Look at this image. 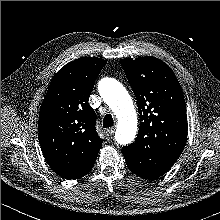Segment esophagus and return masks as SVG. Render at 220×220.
I'll list each match as a JSON object with an SVG mask.
<instances>
[{
	"label": "esophagus",
	"instance_id": "1",
	"mask_svg": "<svg viewBox=\"0 0 220 220\" xmlns=\"http://www.w3.org/2000/svg\"><path fill=\"white\" fill-rule=\"evenodd\" d=\"M114 132H115V128L114 127L107 129L106 130L107 137H111L114 134Z\"/></svg>",
	"mask_w": 220,
	"mask_h": 220
}]
</instances>
